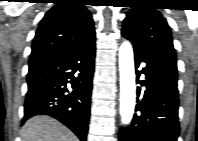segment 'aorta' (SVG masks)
Masks as SVG:
<instances>
[{
  "label": "aorta",
  "instance_id": "762f6f07",
  "mask_svg": "<svg viewBox=\"0 0 198 141\" xmlns=\"http://www.w3.org/2000/svg\"><path fill=\"white\" fill-rule=\"evenodd\" d=\"M120 72V115L124 125L131 122L136 101L135 69L133 48L124 41L119 48Z\"/></svg>",
  "mask_w": 198,
  "mask_h": 141
}]
</instances>
